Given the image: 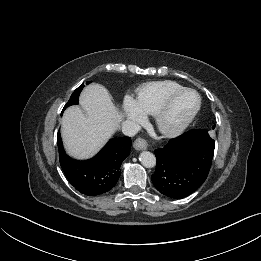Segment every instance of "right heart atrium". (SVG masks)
<instances>
[{
  "instance_id": "1",
  "label": "right heart atrium",
  "mask_w": 261,
  "mask_h": 261,
  "mask_svg": "<svg viewBox=\"0 0 261 261\" xmlns=\"http://www.w3.org/2000/svg\"><path fill=\"white\" fill-rule=\"evenodd\" d=\"M123 109L126 117L132 122L136 124H142L145 121V115L137 107L136 102L133 98H125Z\"/></svg>"
}]
</instances>
